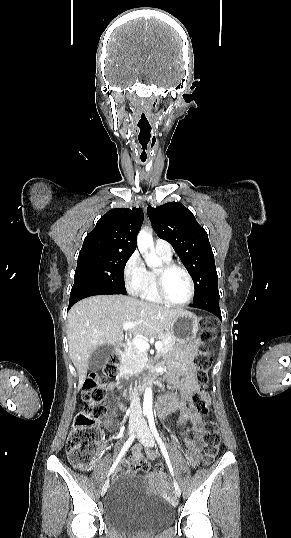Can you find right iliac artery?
<instances>
[{"instance_id":"82829eb1","label":"right iliac artery","mask_w":291,"mask_h":538,"mask_svg":"<svg viewBox=\"0 0 291 538\" xmlns=\"http://www.w3.org/2000/svg\"><path fill=\"white\" fill-rule=\"evenodd\" d=\"M135 434L131 435L130 438L125 442V444L123 445L116 461L114 462V464L112 465V467L110 468L109 470V473H108V476H110V474L115 470L118 462L120 461V459L125 455L126 451L129 449V447L131 446L132 442L134 441L135 439Z\"/></svg>"}]
</instances>
